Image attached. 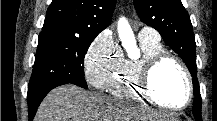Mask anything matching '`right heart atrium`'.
<instances>
[{
    "label": "right heart atrium",
    "instance_id": "1",
    "mask_svg": "<svg viewBox=\"0 0 217 121\" xmlns=\"http://www.w3.org/2000/svg\"><path fill=\"white\" fill-rule=\"evenodd\" d=\"M123 62L121 49L109 31L101 32L85 56V76L98 89H104Z\"/></svg>",
    "mask_w": 217,
    "mask_h": 121
}]
</instances>
